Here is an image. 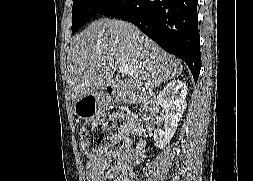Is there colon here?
<instances>
[{"label": "colon", "instance_id": "obj_1", "mask_svg": "<svg viewBox=\"0 0 253 181\" xmlns=\"http://www.w3.org/2000/svg\"><path fill=\"white\" fill-rule=\"evenodd\" d=\"M128 130L129 127L122 115H101L82 127V146L89 157H94L107 151L117 137ZM126 181L134 180L129 177Z\"/></svg>", "mask_w": 253, "mask_h": 181}]
</instances>
